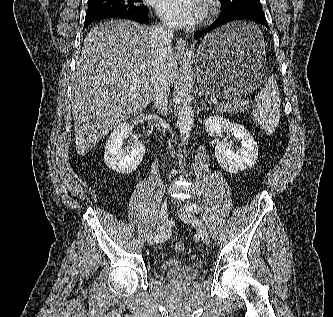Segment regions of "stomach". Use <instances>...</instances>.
Masks as SVG:
<instances>
[{
    "label": "stomach",
    "mask_w": 333,
    "mask_h": 317,
    "mask_svg": "<svg viewBox=\"0 0 333 317\" xmlns=\"http://www.w3.org/2000/svg\"><path fill=\"white\" fill-rule=\"evenodd\" d=\"M265 44L258 24L236 21L207 34L195 54L198 84L204 92L225 100L257 95L263 82Z\"/></svg>",
    "instance_id": "1"
}]
</instances>
